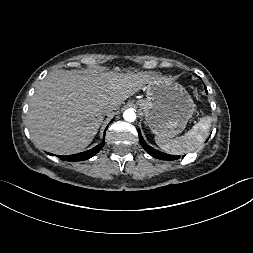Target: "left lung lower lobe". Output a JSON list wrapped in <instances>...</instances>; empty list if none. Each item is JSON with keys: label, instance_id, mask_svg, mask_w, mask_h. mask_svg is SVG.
<instances>
[{"label": "left lung lower lobe", "instance_id": "obj_1", "mask_svg": "<svg viewBox=\"0 0 253 253\" xmlns=\"http://www.w3.org/2000/svg\"><path fill=\"white\" fill-rule=\"evenodd\" d=\"M206 89V88H205ZM207 92V89H206ZM139 132V141L141 146L147 151L148 154H150L152 157L157 158V159H161V160H177L180 158V156H173V155H169V154H165L163 152H160L158 150H155L154 148H152L151 146H148L146 144V142L143 140V137L141 136L140 130ZM208 140V139H207ZM206 140V141H207Z\"/></svg>", "mask_w": 253, "mask_h": 253}]
</instances>
